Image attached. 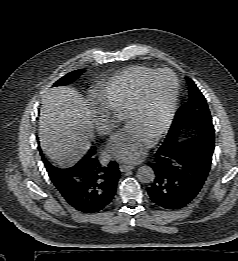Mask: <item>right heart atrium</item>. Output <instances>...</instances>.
Listing matches in <instances>:
<instances>
[{
  "mask_svg": "<svg viewBox=\"0 0 238 261\" xmlns=\"http://www.w3.org/2000/svg\"><path fill=\"white\" fill-rule=\"evenodd\" d=\"M92 121L95 130L103 136L109 135L116 126L115 117L111 116L104 108L92 110Z\"/></svg>",
  "mask_w": 238,
  "mask_h": 261,
  "instance_id": "right-heart-atrium-1",
  "label": "right heart atrium"
}]
</instances>
